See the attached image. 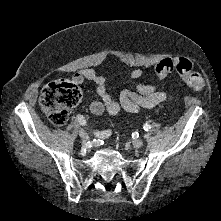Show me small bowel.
I'll use <instances>...</instances> for the list:
<instances>
[{"instance_id":"obj_1","label":"small bowel","mask_w":221,"mask_h":221,"mask_svg":"<svg viewBox=\"0 0 221 221\" xmlns=\"http://www.w3.org/2000/svg\"><path fill=\"white\" fill-rule=\"evenodd\" d=\"M143 75V69L137 68L129 72L130 79H138ZM85 80L96 84V92L100 100L90 103V111L95 115L106 112L109 116H116L121 109L129 113H138L142 109H152L169 100V94L160 90L154 84H137L133 89L124 90L119 94L118 101L114 100L107 89L104 75L94 69L78 70L73 75V81L82 84Z\"/></svg>"}]
</instances>
